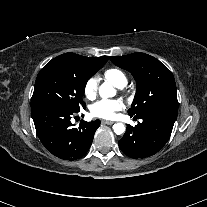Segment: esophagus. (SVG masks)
<instances>
[{
    "instance_id": "esophagus-1",
    "label": "esophagus",
    "mask_w": 207,
    "mask_h": 207,
    "mask_svg": "<svg viewBox=\"0 0 207 207\" xmlns=\"http://www.w3.org/2000/svg\"><path fill=\"white\" fill-rule=\"evenodd\" d=\"M102 123L107 124V125H112L114 124V121L103 120Z\"/></svg>"
}]
</instances>
